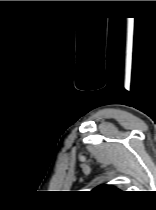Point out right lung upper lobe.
I'll list each match as a JSON object with an SVG mask.
<instances>
[{
    "mask_svg": "<svg viewBox=\"0 0 156 210\" xmlns=\"http://www.w3.org/2000/svg\"><path fill=\"white\" fill-rule=\"evenodd\" d=\"M94 191L113 192V191H118V189L110 185H100L99 187L95 188Z\"/></svg>",
    "mask_w": 156,
    "mask_h": 210,
    "instance_id": "obj_1",
    "label": "right lung upper lobe"
}]
</instances>
